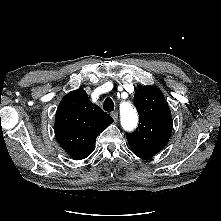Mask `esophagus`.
Returning a JSON list of instances; mask_svg holds the SVG:
<instances>
[{"instance_id": "34e87169", "label": "esophagus", "mask_w": 221, "mask_h": 221, "mask_svg": "<svg viewBox=\"0 0 221 221\" xmlns=\"http://www.w3.org/2000/svg\"><path fill=\"white\" fill-rule=\"evenodd\" d=\"M111 116H112V118L114 119L115 122L118 120V112H112Z\"/></svg>"}]
</instances>
